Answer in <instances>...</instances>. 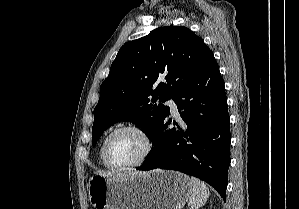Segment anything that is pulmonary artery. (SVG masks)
<instances>
[{
    "mask_svg": "<svg viewBox=\"0 0 299 209\" xmlns=\"http://www.w3.org/2000/svg\"><path fill=\"white\" fill-rule=\"evenodd\" d=\"M167 105L170 107V109H171V111H172V113H173L174 115H177V114H178L177 105H176L174 99H172V98L169 99V100L167 101Z\"/></svg>",
    "mask_w": 299,
    "mask_h": 209,
    "instance_id": "1",
    "label": "pulmonary artery"
}]
</instances>
